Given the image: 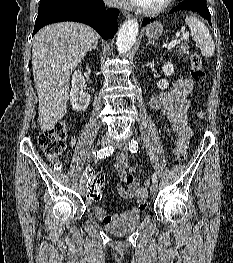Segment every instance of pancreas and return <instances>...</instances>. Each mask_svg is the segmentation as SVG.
<instances>
[{
    "label": "pancreas",
    "instance_id": "cf45deb5",
    "mask_svg": "<svg viewBox=\"0 0 233 263\" xmlns=\"http://www.w3.org/2000/svg\"><path fill=\"white\" fill-rule=\"evenodd\" d=\"M178 54L182 56L183 54H189V46L187 43H182L180 46H178Z\"/></svg>",
    "mask_w": 233,
    "mask_h": 263
}]
</instances>
